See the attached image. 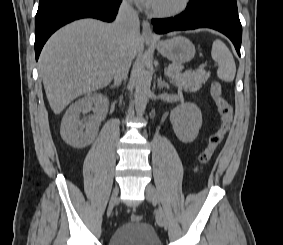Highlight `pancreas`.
<instances>
[{"instance_id": "obj_1", "label": "pancreas", "mask_w": 283, "mask_h": 245, "mask_svg": "<svg viewBox=\"0 0 283 245\" xmlns=\"http://www.w3.org/2000/svg\"><path fill=\"white\" fill-rule=\"evenodd\" d=\"M182 69L183 66L173 63L167 67L166 74L171 79V83L185 91H198L210 77V72H207L204 69L181 73Z\"/></svg>"}]
</instances>
